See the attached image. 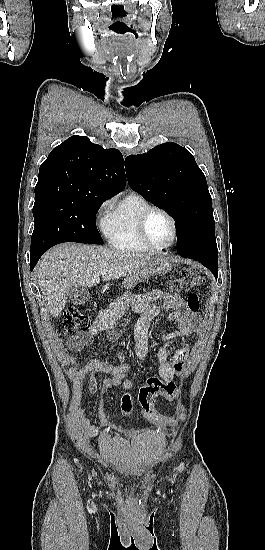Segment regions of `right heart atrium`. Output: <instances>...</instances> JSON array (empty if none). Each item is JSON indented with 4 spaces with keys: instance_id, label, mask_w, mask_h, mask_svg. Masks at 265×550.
<instances>
[{
    "instance_id": "1",
    "label": "right heart atrium",
    "mask_w": 265,
    "mask_h": 550,
    "mask_svg": "<svg viewBox=\"0 0 265 550\" xmlns=\"http://www.w3.org/2000/svg\"><path fill=\"white\" fill-rule=\"evenodd\" d=\"M107 204L108 202L102 203V205L99 207V212H101L107 206Z\"/></svg>"
}]
</instances>
